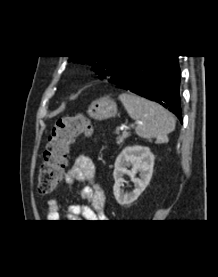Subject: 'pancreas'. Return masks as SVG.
Returning a JSON list of instances; mask_svg holds the SVG:
<instances>
[{"mask_svg": "<svg viewBox=\"0 0 218 277\" xmlns=\"http://www.w3.org/2000/svg\"><path fill=\"white\" fill-rule=\"evenodd\" d=\"M128 133L124 132L121 136L117 138V144L120 145L123 143L124 139L128 137Z\"/></svg>", "mask_w": 218, "mask_h": 277, "instance_id": "pancreas-1", "label": "pancreas"}]
</instances>
